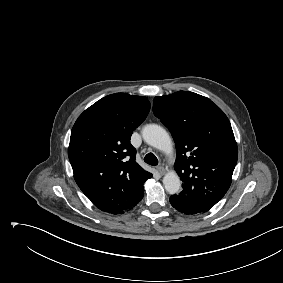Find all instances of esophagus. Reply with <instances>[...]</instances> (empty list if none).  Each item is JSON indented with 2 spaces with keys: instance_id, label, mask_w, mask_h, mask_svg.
Returning <instances> with one entry per match:
<instances>
[{
  "instance_id": "esophagus-1",
  "label": "esophagus",
  "mask_w": 283,
  "mask_h": 283,
  "mask_svg": "<svg viewBox=\"0 0 283 283\" xmlns=\"http://www.w3.org/2000/svg\"><path fill=\"white\" fill-rule=\"evenodd\" d=\"M157 171L160 175H164L165 174V168L162 166H158L157 167Z\"/></svg>"
}]
</instances>
